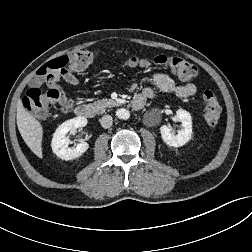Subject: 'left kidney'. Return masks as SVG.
<instances>
[{"mask_svg":"<svg viewBox=\"0 0 252 252\" xmlns=\"http://www.w3.org/2000/svg\"><path fill=\"white\" fill-rule=\"evenodd\" d=\"M176 116L182 123V129L177 134L172 132V128L167 125L160 127V133L163 141L172 147L184 146L192 137V118L189 112L179 109Z\"/></svg>","mask_w":252,"mask_h":252,"instance_id":"left-kidney-1","label":"left kidney"}]
</instances>
